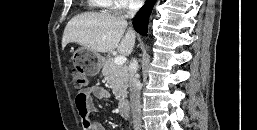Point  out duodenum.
Returning <instances> with one entry per match:
<instances>
[{"mask_svg": "<svg viewBox=\"0 0 257 130\" xmlns=\"http://www.w3.org/2000/svg\"><path fill=\"white\" fill-rule=\"evenodd\" d=\"M118 110L122 117L127 118L130 112L129 101L127 99H121L118 103Z\"/></svg>", "mask_w": 257, "mask_h": 130, "instance_id": "1", "label": "duodenum"}]
</instances>
